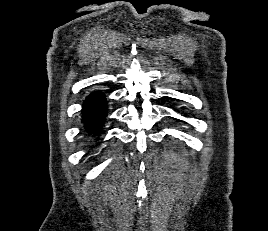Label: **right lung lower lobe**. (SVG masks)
I'll return each instance as SVG.
<instances>
[{"label": "right lung lower lobe", "instance_id": "right-lung-lower-lobe-1", "mask_svg": "<svg viewBox=\"0 0 268 231\" xmlns=\"http://www.w3.org/2000/svg\"><path fill=\"white\" fill-rule=\"evenodd\" d=\"M106 98L102 92L91 93L83 103L82 121L85 130L97 134L107 116Z\"/></svg>", "mask_w": 268, "mask_h": 231}]
</instances>
